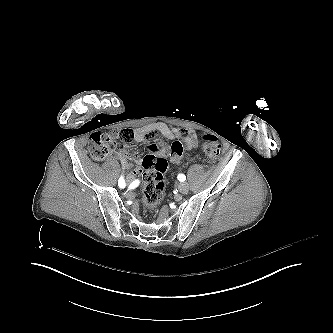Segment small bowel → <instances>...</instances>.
I'll return each instance as SVG.
<instances>
[{
  "mask_svg": "<svg viewBox=\"0 0 333 333\" xmlns=\"http://www.w3.org/2000/svg\"><path fill=\"white\" fill-rule=\"evenodd\" d=\"M146 132H156L157 134L167 138V139H176L182 138L187 149L191 150L196 145V137L192 131L177 128V127H170L165 123L157 122L151 123L143 128L137 130L138 135H142ZM119 149H124V144H119ZM112 159H116L118 154L116 152H112L110 154ZM183 157V156H182ZM182 157L172 158V160L176 163H180ZM119 160L121 162L127 163L128 160H132L137 162V158L133 156L127 149H124L122 153L119 155ZM128 166H132L133 163H127ZM142 174V171L139 166H134L133 169L127 174L126 181L129 185H136L138 182V177Z\"/></svg>",
  "mask_w": 333,
  "mask_h": 333,
  "instance_id": "small-bowel-1",
  "label": "small bowel"
}]
</instances>
